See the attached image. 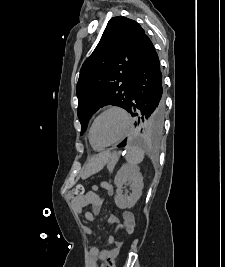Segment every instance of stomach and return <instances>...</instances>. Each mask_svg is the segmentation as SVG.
<instances>
[{
	"label": "stomach",
	"mask_w": 225,
	"mask_h": 267,
	"mask_svg": "<svg viewBox=\"0 0 225 267\" xmlns=\"http://www.w3.org/2000/svg\"><path fill=\"white\" fill-rule=\"evenodd\" d=\"M113 159L117 160V157H114L109 153H102L95 156L88 164L86 174L90 175L100 171L106 163H109Z\"/></svg>",
	"instance_id": "stomach-1"
}]
</instances>
